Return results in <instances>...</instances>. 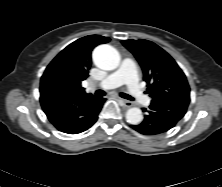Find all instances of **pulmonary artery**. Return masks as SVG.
I'll list each match as a JSON object with an SVG mask.
<instances>
[{
  "mask_svg": "<svg viewBox=\"0 0 222 187\" xmlns=\"http://www.w3.org/2000/svg\"><path fill=\"white\" fill-rule=\"evenodd\" d=\"M126 84L129 93L143 105L150 104V98L144 94L140 87L139 75L134 62L130 59H124L120 67L109 74L98 85L102 88L109 89Z\"/></svg>",
  "mask_w": 222,
  "mask_h": 187,
  "instance_id": "e3ab8cb5",
  "label": "pulmonary artery"
}]
</instances>
